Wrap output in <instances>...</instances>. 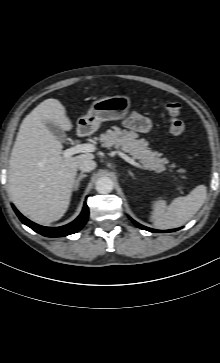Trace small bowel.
Instances as JSON below:
<instances>
[{
  "label": "small bowel",
  "mask_w": 220,
  "mask_h": 363,
  "mask_svg": "<svg viewBox=\"0 0 220 363\" xmlns=\"http://www.w3.org/2000/svg\"><path fill=\"white\" fill-rule=\"evenodd\" d=\"M125 125L129 129L140 133H147L152 127L151 121L147 117L138 113H132L129 115L125 120Z\"/></svg>",
  "instance_id": "1"
}]
</instances>
